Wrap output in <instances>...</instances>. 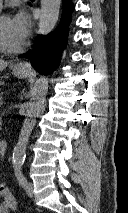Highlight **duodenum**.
I'll return each mask as SVG.
<instances>
[{
	"label": "duodenum",
	"mask_w": 128,
	"mask_h": 213,
	"mask_svg": "<svg viewBox=\"0 0 128 213\" xmlns=\"http://www.w3.org/2000/svg\"><path fill=\"white\" fill-rule=\"evenodd\" d=\"M8 149V143L6 140L0 141V156H4Z\"/></svg>",
	"instance_id": "1"
}]
</instances>
